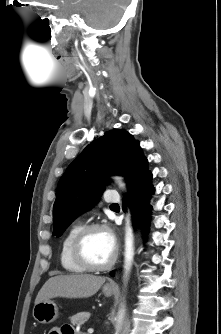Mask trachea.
Segmentation results:
<instances>
[{
	"label": "trachea",
	"mask_w": 221,
	"mask_h": 334,
	"mask_svg": "<svg viewBox=\"0 0 221 334\" xmlns=\"http://www.w3.org/2000/svg\"><path fill=\"white\" fill-rule=\"evenodd\" d=\"M111 206H118V204H112Z\"/></svg>",
	"instance_id": "3493384b"
}]
</instances>
